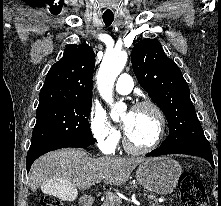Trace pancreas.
<instances>
[{
    "mask_svg": "<svg viewBox=\"0 0 221 206\" xmlns=\"http://www.w3.org/2000/svg\"><path fill=\"white\" fill-rule=\"evenodd\" d=\"M121 200L118 196L114 195V199L108 198L102 206H121ZM150 206H163L161 202H159L157 199H153L150 202Z\"/></svg>",
    "mask_w": 221,
    "mask_h": 206,
    "instance_id": "1",
    "label": "pancreas"
}]
</instances>
